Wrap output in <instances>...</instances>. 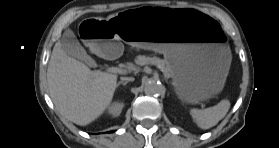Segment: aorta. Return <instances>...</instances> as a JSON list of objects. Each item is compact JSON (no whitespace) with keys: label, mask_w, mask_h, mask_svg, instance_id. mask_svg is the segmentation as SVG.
<instances>
[{"label":"aorta","mask_w":279,"mask_h":148,"mask_svg":"<svg viewBox=\"0 0 279 148\" xmlns=\"http://www.w3.org/2000/svg\"><path fill=\"white\" fill-rule=\"evenodd\" d=\"M144 92L148 96H160L164 92V87L157 81H147L144 85Z\"/></svg>","instance_id":"1"}]
</instances>
